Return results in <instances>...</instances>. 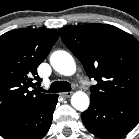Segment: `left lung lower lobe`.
I'll list each match as a JSON object with an SVG mask.
<instances>
[{
    "label": "left lung lower lobe",
    "instance_id": "obj_1",
    "mask_svg": "<svg viewBox=\"0 0 139 139\" xmlns=\"http://www.w3.org/2000/svg\"><path fill=\"white\" fill-rule=\"evenodd\" d=\"M81 118L95 136L104 139L122 137L139 122V97L107 104L90 98V106Z\"/></svg>",
    "mask_w": 139,
    "mask_h": 139
}]
</instances>
